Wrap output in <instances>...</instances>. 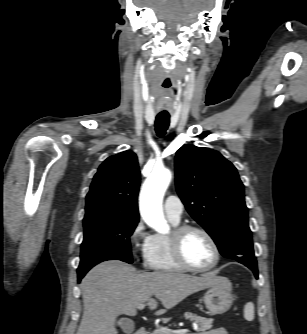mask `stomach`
<instances>
[{"label": "stomach", "mask_w": 307, "mask_h": 334, "mask_svg": "<svg viewBox=\"0 0 307 334\" xmlns=\"http://www.w3.org/2000/svg\"><path fill=\"white\" fill-rule=\"evenodd\" d=\"M217 280L218 283L210 287L204 295L205 306L213 315L227 312L234 300L230 280L222 276H217Z\"/></svg>", "instance_id": "0dacf381"}]
</instances>
